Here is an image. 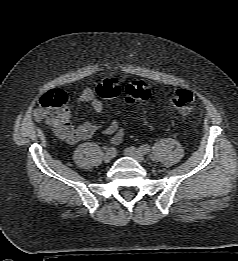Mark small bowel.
Listing matches in <instances>:
<instances>
[{"label": "small bowel", "mask_w": 238, "mask_h": 261, "mask_svg": "<svg viewBox=\"0 0 238 261\" xmlns=\"http://www.w3.org/2000/svg\"><path fill=\"white\" fill-rule=\"evenodd\" d=\"M78 103H90L93 110L100 114L104 110L103 103L96 97V92L93 88L84 89L77 99ZM56 135L69 144H75L80 141L91 138L98 130L99 125L86 122L78 126H74L68 117L63 122L52 125ZM104 134L110 137L113 144L122 142L125 136V130L122 128L118 121L112 120L104 131Z\"/></svg>", "instance_id": "small-bowel-1"}]
</instances>
